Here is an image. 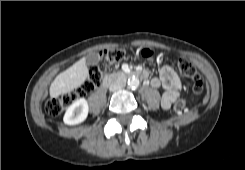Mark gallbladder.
I'll return each mask as SVG.
<instances>
[{
  "instance_id": "1",
  "label": "gallbladder",
  "mask_w": 245,
  "mask_h": 170,
  "mask_svg": "<svg viewBox=\"0 0 245 170\" xmlns=\"http://www.w3.org/2000/svg\"><path fill=\"white\" fill-rule=\"evenodd\" d=\"M85 62L87 65H95L99 62L100 60V56L97 52H92V53H89L86 58H85Z\"/></svg>"
}]
</instances>
